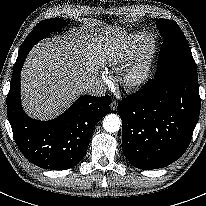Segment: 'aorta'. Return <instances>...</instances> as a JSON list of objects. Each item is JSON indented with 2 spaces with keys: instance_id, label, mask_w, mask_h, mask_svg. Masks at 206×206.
<instances>
[{
  "instance_id": "762f6f07",
  "label": "aorta",
  "mask_w": 206,
  "mask_h": 206,
  "mask_svg": "<svg viewBox=\"0 0 206 206\" xmlns=\"http://www.w3.org/2000/svg\"><path fill=\"white\" fill-rule=\"evenodd\" d=\"M120 125L121 120L116 114H108L103 120V128L109 133L119 131Z\"/></svg>"
}]
</instances>
